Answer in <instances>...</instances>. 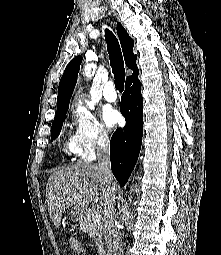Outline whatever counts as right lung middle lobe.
Segmentation results:
<instances>
[{"label": "right lung middle lobe", "mask_w": 221, "mask_h": 255, "mask_svg": "<svg viewBox=\"0 0 221 255\" xmlns=\"http://www.w3.org/2000/svg\"><path fill=\"white\" fill-rule=\"evenodd\" d=\"M66 112H60L56 113V116L54 118L53 124H52V130H51V140L55 139L62 129L63 121L66 116Z\"/></svg>", "instance_id": "1"}]
</instances>
